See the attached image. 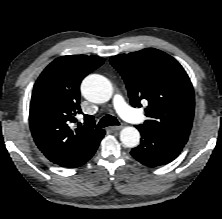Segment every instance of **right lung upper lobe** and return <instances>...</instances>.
<instances>
[{"mask_svg":"<svg viewBox=\"0 0 222 219\" xmlns=\"http://www.w3.org/2000/svg\"><path fill=\"white\" fill-rule=\"evenodd\" d=\"M104 59L87 55H67L50 63L37 79L32 93L29 124L40 151L53 163L73 167L100 137L95 121L85 115L88 126L71 129L74 117L82 113L80 83L100 67Z\"/></svg>","mask_w":222,"mask_h":219,"instance_id":"obj_1","label":"right lung upper lobe"}]
</instances>
